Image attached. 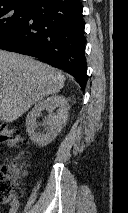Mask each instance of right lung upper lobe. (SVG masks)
<instances>
[{"instance_id":"cb5924a9","label":"right lung upper lobe","mask_w":128,"mask_h":213,"mask_svg":"<svg viewBox=\"0 0 128 213\" xmlns=\"http://www.w3.org/2000/svg\"><path fill=\"white\" fill-rule=\"evenodd\" d=\"M38 0H0V6L4 5H24L31 7Z\"/></svg>"}]
</instances>
